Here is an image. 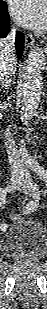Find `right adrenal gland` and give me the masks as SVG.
<instances>
[{"label":"right adrenal gland","instance_id":"2a0ac1e0","mask_svg":"<svg viewBox=\"0 0 47 309\" xmlns=\"http://www.w3.org/2000/svg\"><path fill=\"white\" fill-rule=\"evenodd\" d=\"M9 87V83L6 81L1 80L0 82V88H5L6 90H8Z\"/></svg>","mask_w":47,"mask_h":309}]
</instances>
